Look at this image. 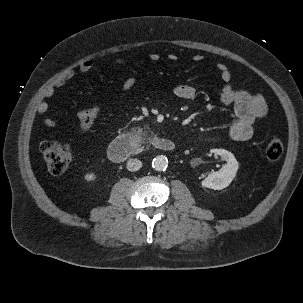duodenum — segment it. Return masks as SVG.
<instances>
[{
  "mask_svg": "<svg viewBox=\"0 0 303 303\" xmlns=\"http://www.w3.org/2000/svg\"><path fill=\"white\" fill-rule=\"evenodd\" d=\"M150 144L160 151L171 152L175 149L173 141L159 136L152 137ZM140 147L141 143L136 134H122L116 137L109 145L108 156L114 162H122L137 152Z\"/></svg>",
  "mask_w": 303,
  "mask_h": 303,
  "instance_id": "410a0bca",
  "label": "duodenum"
}]
</instances>
